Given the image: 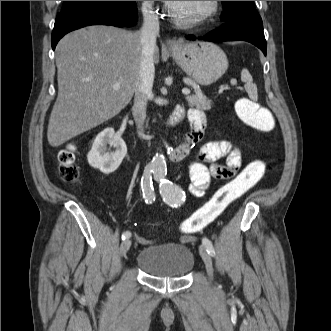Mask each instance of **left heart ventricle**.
<instances>
[{
  "mask_svg": "<svg viewBox=\"0 0 331 331\" xmlns=\"http://www.w3.org/2000/svg\"><path fill=\"white\" fill-rule=\"evenodd\" d=\"M210 1H176L171 8L181 18H191L206 11Z\"/></svg>",
  "mask_w": 331,
  "mask_h": 331,
  "instance_id": "b2bd125f",
  "label": "left heart ventricle"
}]
</instances>
